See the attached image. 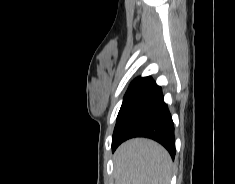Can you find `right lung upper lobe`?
Instances as JSON below:
<instances>
[{"label": "right lung upper lobe", "instance_id": "cb5924a9", "mask_svg": "<svg viewBox=\"0 0 235 184\" xmlns=\"http://www.w3.org/2000/svg\"><path fill=\"white\" fill-rule=\"evenodd\" d=\"M143 79H144V78H140V77L136 78V79L131 83V85H130L129 88L134 87L135 85H137L138 83H140Z\"/></svg>", "mask_w": 235, "mask_h": 184}]
</instances>
